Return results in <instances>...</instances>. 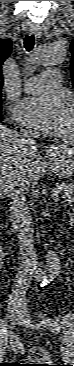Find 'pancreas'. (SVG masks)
Here are the masks:
<instances>
[{
  "instance_id": "obj_1",
  "label": "pancreas",
  "mask_w": 74,
  "mask_h": 366,
  "mask_svg": "<svg viewBox=\"0 0 74 366\" xmlns=\"http://www.w3.org/2000/svg\"><path fill=\"white\" fill-rule=\"evenodd\" d=\"M55 190H59L60 192H62L65 201H72L74 196L73 185L62 183L60 185H57V188H55Z\"/></svg>"
}]
</instances>
